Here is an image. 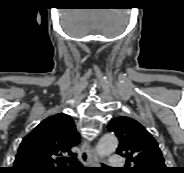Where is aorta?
<instances>
[{
    "label": "aorta",
    "instance_id": "aorta-1",
    "mask_svg": "<svg viewBox=\"0 0 184 173\" xmlns=\"http://www.w3.org/2000/svg\"><path fill=\"white\" fill-rule=\"evenodd\" d=\"M118 146V139L114 134H105L96 146L97 156L102 158L112 154Z\"/></svg>",
    "mask_w": 184,
    "mask_h": 173
}]
</instances>
